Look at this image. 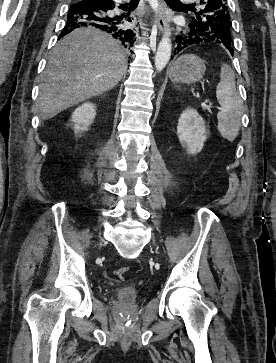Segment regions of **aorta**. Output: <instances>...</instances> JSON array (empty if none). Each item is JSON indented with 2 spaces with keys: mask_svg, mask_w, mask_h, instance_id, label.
<instances>
[{
  "mask_svg": "<svg viewBox=\"0 0 276 363\" xmlns=\"http://www.w3.org/2000/svg\"><path fill=\"white\" fill-rule=\"evenodd\" d=\"M172 44L168 36H164L159 42L157 53L155 56V68L158 72L162 71L171 56Z\"/></svg>",
  "mask_w": 276,
  "mask_h": 363,
  "instance_id": "aorta-1",
  "label": "aorta"
}]
</instances>
